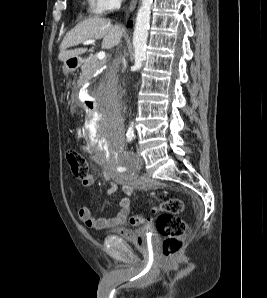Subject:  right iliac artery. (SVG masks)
Listing matches in <instances>:
<instances>
[{"label":"right iliac artery","mask_w":267,"mask_h":298,"mask_svg":"<svg viewBox=\"0 0 267 298\" xmlns=\"http://www.w3.org/2000/svg\"><path fill=\"white\" fill-rule=\"evenodd\" d=\"M127 140L130 142V141H132L133 140V136H127Z\"/></svg>","instance_id":"obj_1"}]
</instances>
